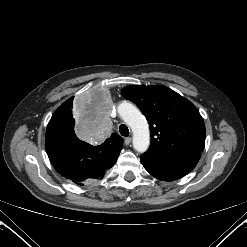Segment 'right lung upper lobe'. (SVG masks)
<instances>
[{
  "label": "right lung upper lobe",
  "instance_id": "obj_1",
  "mask_svg": "<svg viewBox=\"0 0 247 247\" xmlns=\"http://www.w3.org/2000/svg\"><path fill=\"white\" fill-rule=\"evenodd\" d=\"M73 99L74 97H71L70 99L66 100L53 114L49 124H55L54 120L56 115L61 112L64 109L70 108L71 105L73 104ZM104 144L109 145V146H116V147H122L123 145V139L117 135V134H112V136L110 138H108Z\"/></svg>",
  "mask_w": 247,
  "mask_h": 247
}]
</instances>
